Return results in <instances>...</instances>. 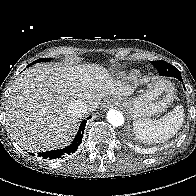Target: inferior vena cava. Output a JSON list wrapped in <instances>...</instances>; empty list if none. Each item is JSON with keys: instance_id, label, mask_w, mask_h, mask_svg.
Returning <instances> with one entry per match:
<instances>
[{"instance_id": "obj_1", "label": "inferior vena cava", "mask_w": 196, "mask_h": 196, "mask_svg": "<svg viewBox=\"0 0 196 196\" xmlns=\"http://www.w3.org/2000/svg\"><path fill=\"white\" fill-rule=\"evenodd\" d=\"M87 111V104L81 100H76L69 106V112L76 117H82Z\"/></svg>"}]
</instances>
